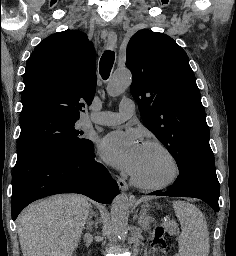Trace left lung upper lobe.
I'll use <instances>...</instances> for the list:
<instances>
[{
    "mask_svg": "<svg viewBox=\"0 0 236 256\" xmlns=\"http://www.w3.org/2000/svg\"><path fill=\"white\" fill-rule=\"evenodd\" d=\"M126 66L130 87L147 128L176 160L215 167L209 128L186 52L168 35L139 30L129 41Z\"/></svg>",
    "mask_w": 236,
    "mask_h": 256,
    "instance_id": "5c2ea615",
    "label": "left lung upper lobe"
}]
</instances>
